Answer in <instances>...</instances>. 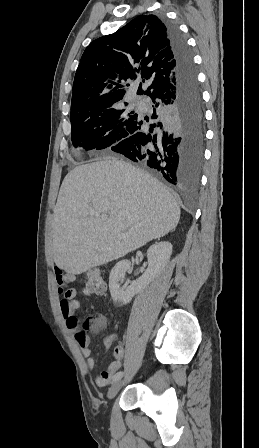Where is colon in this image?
<instances>
[{
  "mask_svg": "<svg viewBox=\"0 0 259 448\" xmlns=\"http://www.w3.org/2000/svg\"><path fill=\"white\" fill-rule=\"evenodd\" d=\"M83 291L88 295H101L106 290L105 280L99 270L92 269L86 272L83 278ZM103 324L99 318L87 320L86 327L97 329Z\"/></svg>",
  "mask_w": 259,
  "mask_h": 448,
  "instance_id": "obj_1",
  "label": "colon"
}]
</instances>
